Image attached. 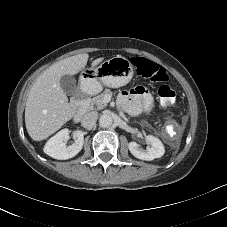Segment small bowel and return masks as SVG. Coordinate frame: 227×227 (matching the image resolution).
<instances>
[{
	"instance_id": "c3829d8e",
	"label": "small bowel",
	"mask_w": 227,
	"mask_h": 227,
	"mask_svg": "<svg viewBox=\"0 0 227 227\" xmlns=\"http://www.w3.org/2000/svg\"><path fill=\"white\" fill-rule=\"evenodd\" d=\"M118 103L132 116H138L143 111L150 112L154 106L149 92L144 87L122 91L118 96Z\"/></svg>"
}]
</instances>
